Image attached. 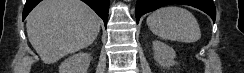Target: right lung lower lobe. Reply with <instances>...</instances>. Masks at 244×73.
<instances>
[{
  "mask_svg": "<svg viewBox=\"0 0 244 73\" xmlns=\"http://www.w3.org/2000/svg\"><path fill=\"white\" fill-rule=\"evenodd\" d=\"M42 0H26L23 10V20L29 12ZM89 5L104 21L105 26L108 20L109 0H81Z\"/></svg>",
  "mask_w": 244,
  "mask_h": 73,
  "instance_id": "obj_1",
  "label": "right lung lower lobe"
}]
</instances>
